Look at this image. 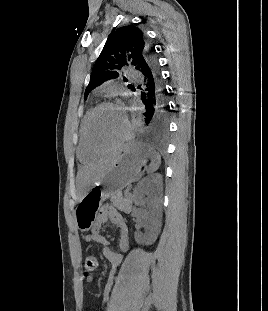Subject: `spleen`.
<instances>
[{
	"label": "spleen",
	"mask_w": 268,
	"mask_h": 311,
	"mask_svg": "<svg viewBox=\"0 0 268 311\" xmlns=\"http://www.w3.org/2000/svg\"><path fill=\"white\" fill-rule=\"evenodd\" d=\"M148 156L151 158V164L147 169V173L152 174L159 168L161 163V156L156 153L152 148H148Z\"/></svg>",
	"instance_id": "obj_1"
}]
</instances>
